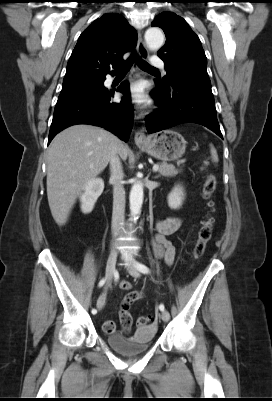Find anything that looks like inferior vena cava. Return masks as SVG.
I'll return each instance as SVG.
<instances>
[{
    "label": "inferior vena cava",
    "mask_w": 272,
    "mask_h": 401,
    "mask_svg": "<svg viewBox=\"0 0 272 401\" xmlns=\"http://www.w3.org/2000/svg\"><path fill=\"white\" fill-rule=\"evenodd\" d=\"M123 169L115 150L110 158V180L113 184V212H112V234L116 238L121 229L125 212V190L123 187Z\"/></svg>",
    "instance_id": "inferior-vena-cava-1"
}]
</instances>
